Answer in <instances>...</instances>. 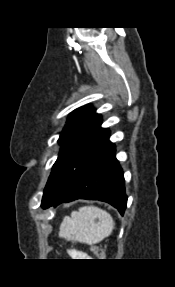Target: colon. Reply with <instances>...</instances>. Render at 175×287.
Here are the masks:
<instances>
[{"label": "colon", "mask_w": 175, "mask_h": 287, "mask_svg": "<svg viewBox=\"0 0 175 287\" xmlns=\"http://www.w3.org/2000/svg\"><path fill=\"white\" fill-rule=\"evenodd\" d=\"M92 252L98 256V257H103L104 256V251L100 246H93L91 248Z\"/></svg>", "instance_id": "5ec220e1"}]
</instances>
